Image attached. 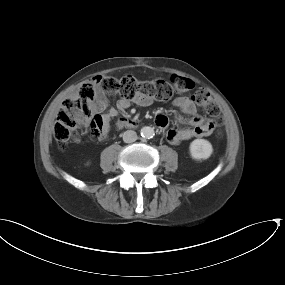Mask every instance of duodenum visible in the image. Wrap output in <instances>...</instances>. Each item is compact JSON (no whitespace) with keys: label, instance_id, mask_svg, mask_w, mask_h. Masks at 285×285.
I'll return each mask as SVG.
<instances>
[{"label":"duodenum","instance_id":"duodenum-1","mask_svg":"<svg viewBox=\"0 0 285 285\" xmlns=\"http://www.w3.org/2000/svg\"><path fill=\"white\" fill-rule=\"evenodd\" d=\"M116 126L118 129L133 128L135 126V123L128 118H122L117 122Z\"/></svg>","mask_w":285,"mask_h":285}]
</instances>
